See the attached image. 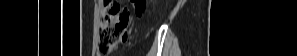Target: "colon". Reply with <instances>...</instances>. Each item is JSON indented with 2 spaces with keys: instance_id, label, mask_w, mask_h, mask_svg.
I'll use <instances>...</instances> for the list:
<instances>
[{
  "instance_id": "1",
  "label": "colon",
  "mask_w": 297,
  "mask_h": 56,
  "mask_svg": "<svg viewBox=\"0 0 297 56\" xmlns=\"http://www.w3.org/2000/svg\"><path fill=\"white\" fill-rule=\"evenodd\" d=\"M136 15L141 16L146 7L145 0H132ZM130 20L129 10L121 7L116 2L105 1L99 21L98 50L102 54H108L114 50L121 33H126Z\"/></svg>"
}]
</instances>
